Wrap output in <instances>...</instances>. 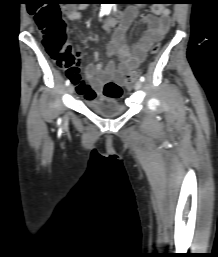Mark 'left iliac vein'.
Masks as SVG:
<instances>
[{
  "instance_id": "4c4485c4",
  "label": "left iliac vein",
  "mask_w": 218,
  "mask_h": 257,
  "mask_svg": "<svg viewBox=\"0 0 218 257\" xmlns=\"http://www.w3.org/2000/svg\"><path fill=\"white\" fill-rule=\"evenodd\" d=\"M141 88H142V81H140V80L136 81V83H135V89H136V90H139V89H141Z\"/></svg>"
}]
</instances>
